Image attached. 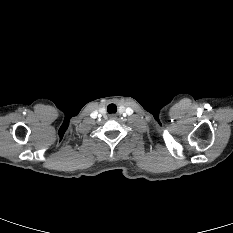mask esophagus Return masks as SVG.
I'll return each instance as SVG.
<instances>
[{"label": "esophagus", "instance_id": "1", "mask_svg": "<svg viewBox=\"0 0 233 233\" xmlns=\"http://www.w3.org/2000/svg\"><path fill=\"white\" fill-rule=\"evenodd\" d=\"M116 116L114 114L110 115L111 119H114Z\"/></svg>", "mask_w": 233, "mask_h": 233}]
</instances>
